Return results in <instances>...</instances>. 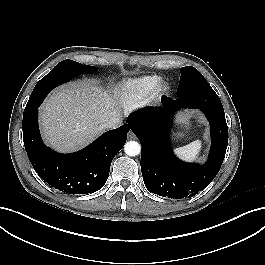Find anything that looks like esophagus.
I'll return each instance as SVG.
<instances>
[{"mask_svg": "<svg viewBox=\"0 0 265 265\" xmlns=\"http://www.w3.org/2000/svg\"><path fill=\"white\" fill-rule=\"evenodd\" d=\"M128 138H129V139H135L136 136H135V134H134L132 131H129V133H128Z\"/></svg>", "mask_w": 265, "mask_h": 265, "instance_id": "1", "label": "esophagus"}]
</instances>
